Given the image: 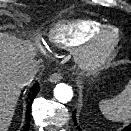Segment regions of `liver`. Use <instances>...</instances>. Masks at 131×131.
Here are the masks:
<instances>
[{"label":"liver","mask_w":131,"mask_h":131,"mask_svg":"<svg viewBox=\"0 0 131 131\" xmlns=\"http://www.w3.org/2000/svg\"><path fill=\"white\" fill-rule=\"evenodd\" d=\"M34 47L14 37L0 33V131H7L23 86L20 72L29 65Z\"/></svg>","instance_id":"obj_1"}]
</instances>
